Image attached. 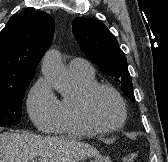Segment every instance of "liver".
Here are the masks:
<instances>
[{
  "label": "liver",
  "instance_id": "liver-1",
  "mask_svg": "<svg viewBox=\"0 0 168 162\" xmlns=\"http://www.w3.org/2000/svg\"><path fill=\"white\" fill-rule=\"evenodd\" d=\"M96 156V148L76 139L0 133V162H78Z\"/></svg>",
  "mask_w": 168,
  "mask_h": 162
}]
</instances>
